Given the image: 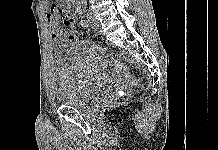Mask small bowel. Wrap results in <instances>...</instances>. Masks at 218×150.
<instances>
[{
	"label": "small bowel",
	"mask_w": 218,
	"mask_h": 150,
	"mask_svg": "<svg viewBox=\"0 0 218 150\" xmlns=\"http://www.w3.org/2000/svg\"><path fill=\"white\" fill-rule=\"evenodd\" d=\"M63 6L73 8L74 11L72 12L75 14L82 10L79 0H60L57 6L49 8L46 20L51 37L54 39L63 38L67 35L66 31L59 26L60 15L64 12Z\"/></svg>",
	"instance_id": "small-bowel-1"
}]
</instances>
